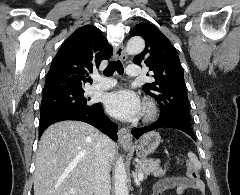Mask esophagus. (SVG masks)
Listing matches in <instances>:
<instances>
[{"instance_id": "1", "label": "esophagus", "mask_w": 240, "mask_h": 195, "mask_svg": "<svg viewBox=\"0 0 240 195\" xmlns=\"http://www.w3.org/2000/svg\"><path fill=\"white\" fill-rule=\"evenodd\" d=\"M114 60H126V51L124 46H119L115 48L113 53ZM118 141L120 145L124 148H129L132 144V134L128 128H121L118 131Z\"/></svg>"}]
</instances>
